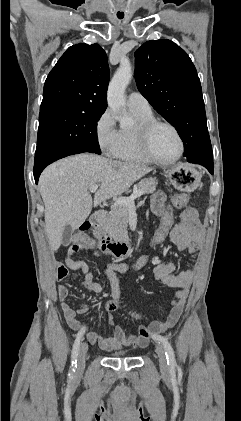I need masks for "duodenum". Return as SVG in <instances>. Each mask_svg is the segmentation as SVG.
<instances>
[{"label":"duodenum","instance_id":"410a0bca","mask_svg":"<svg viewBox=\"0 0 241 421\" xmlns=\"http://www.w3.org/2000/svg\"><path fill=\"white\" fill-rule=\"evenodd\" d=\"M106 216L107 212L104 210H98L91 216V224L94 227V234L98 241L99 248L106 254H111L116 257L125 256L130 251V245L126 240L115 239L105 231L104 221Z\"/></svg>","mask_w":241,"mask_h":421}]
</instances>
